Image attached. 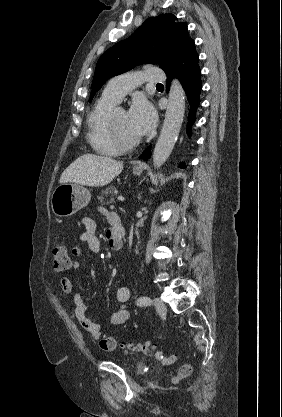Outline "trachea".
Returning <instances> with one entry per match:
<instances>
[{"label": "trachea", "instance_id": "3493384b", "mask_svg": "<svg viewBox=\"0 0 282 417\" xmlns=\"http://www.w3.org/2000/svg\"><path fill=\"white\" fill-rule=\"evenodd\" d=\"M157 85H163L162 83H157Z\"/></svg>", "mask_w": 282, "mask_h": 417}]
</instances>
